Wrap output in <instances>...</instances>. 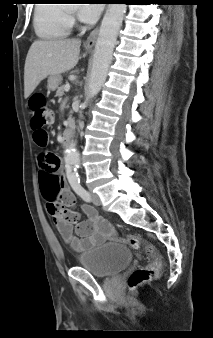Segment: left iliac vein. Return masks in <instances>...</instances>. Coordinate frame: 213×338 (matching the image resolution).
<instances>
[{"label":"left iliac vein","instance_id":"obj_1","mask_svg":"<svg viewBox=\"0 0 213 338\" xmlns=\"http://www.w3.org/2000/svg\"><path fill=\"white\" fill-rule=\"evenodd\" d=\"M90 194H91V200H92L93 204L99 206L101 204V200H100L99 196L96 193H93V192H91Z\"/></svg>","mask_w":213,"mask_h":338}]
</instances>
